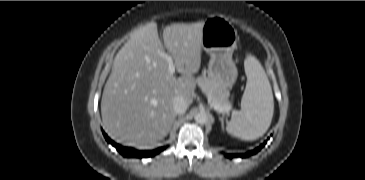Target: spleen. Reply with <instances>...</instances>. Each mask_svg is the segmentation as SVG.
I'll use <instances>...</instances> for the list:
<instances>
[{
  "label": "spleen",
  "instance_id": "1",
  "mask_svg": "<svg viewBox=\"0 0 365 180\" xmlns=\"http://www.w3.org/2000/svg\"><path fill=\"white\" fill-rule=\"evenodd\" d=\"M247 76L241 99V110L227 123L226 131L242 140H255L270 127L273 112V93L261 63L252 55L244 61Z\"/></svg>",
  "mask_w": 365,
  "mask_h": 180
}]
</instances>
